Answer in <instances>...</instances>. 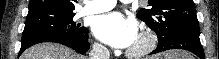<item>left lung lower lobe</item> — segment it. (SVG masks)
I'll use <instances>...</instances> for the list:
<instances>
[{"label":"left lung lower lobe","instance_id":"0a47b994","mask_svg":"<svg viewBox=\"0 0 219 59\" xmlns=\"http://www.w3.org/2000/svg\"><path fill=\"white\" fill-rule=\"evenodd\" d=\"M199 34V26L186 27L177 31L170 38L164 41H158L157 48L150 54L170 49H184L196 54L201 59H205Z\"/></svg>","mask_w":219,"mask_h":59}]
</instances>
